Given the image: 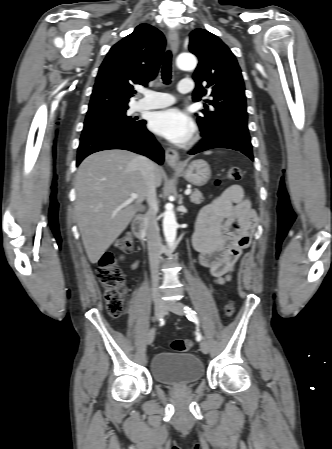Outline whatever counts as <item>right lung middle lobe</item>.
<instances>
[{
    "mask_svg": "<svg viewBox=\"0 0 332 449\" xmlns=\"http://www.w3.org/2000/svg\"><path fill=\"white\" fill-rule=\"evenodd\" d=\"M127 110L128 107L88 112L82 134L95 130L129 131L144 123V120L136 121V118L128 116Z\"/></svg>",
    "mask_w": 332,
    "mask_h": 449,
    "instance_id": "1",
    "label": "right lung middle lobe"
}]
</instances>
